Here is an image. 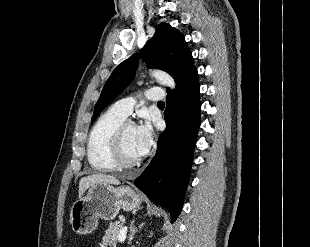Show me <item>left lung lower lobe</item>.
<instances>
[{
    "label": "left lung lower lobe",
    "mask_w": 310,
    "mask_h": 247,
    "mask_svg": "<svg viewBox=\"0 0 310 247\" xmlns=\"http://www.w3.org/2000/svg\"><path fill=\"white\" fill-rule=\"evenodd\" d=\"M167 93L164 112L167 127L159 137L155 157L134 184L151 201L165 207L173 223L183 207L200 127L197 69L190 72L174 92Z\"/></svg>",
    "instance_id": "left-lung-lower-lobe-1"
}]
</instances>
